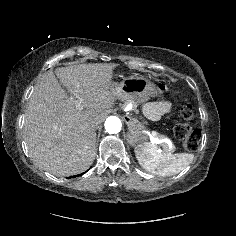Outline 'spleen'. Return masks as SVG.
Segmentation results:
<instances>
[{
    "label": "spleen",
    "mask_w": 236,
    "mask_h": 236,
    "mask_svg": "<svg viewBox=\"0 0 236 236\" xmlns=\"http://www.w3.org/2000/svg\"><path fill=\"white\" fill-rule=\"evenodd\" d=\"M139 164L148 172L159 176H172L181 172L194 159L193 154H172L151 143L140 144L135 148Z\"/></svg>",
    "instance_id": "spleen-1"
}]
</instances>
